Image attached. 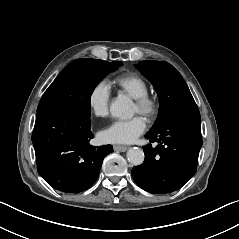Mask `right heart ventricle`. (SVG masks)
Masks as SVG:
<instances>
[{"instance_id": "obj_1", "label": "right heart ventricle", "mask_w": 239, "mask_h": 239, "mask_svg": "<svg viewBox=\"0 0 239 239\" xmlns=\"http://www.w3.org/2000/svg\"><path fill=\"white\" fill-rule=\"evenodd\" d=\"M114 82L134 98L148 93V83L138 74L128 73L118 76Z\"/></svg>"}]
</instances>
